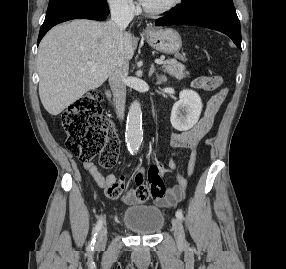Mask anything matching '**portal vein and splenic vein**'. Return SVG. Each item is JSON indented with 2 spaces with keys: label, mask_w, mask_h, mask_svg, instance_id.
Here are the masks:
<instances>
[{
  "label": "portal vein and splenic vein",
  "mask_w": 286,
  "mask_h": 269,
  "mask_svg": "<svg viewBox=\"0 0 286 269\" xmlns=\"http://www.w3.org/2000/svg\"><path fill=\"white\" fill-rule=\"evenodd\" d=\"M155 63L158 64V65H161V64H163V60H161V59H156V60H155Z\"/></svg>",
  "instance_id": "portal-vein-and-splenic-vein-1"
}]
</instances>
